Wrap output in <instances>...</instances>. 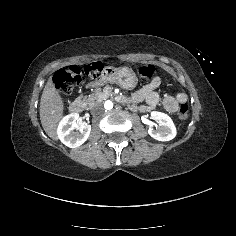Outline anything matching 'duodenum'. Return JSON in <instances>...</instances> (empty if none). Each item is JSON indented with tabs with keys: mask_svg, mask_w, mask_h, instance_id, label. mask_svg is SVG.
Instances as JSON below:
<instances>
[{
	"mask_svg": "<svg viewBox=\"0 0 236 236\" xmlns=\"http://www.w3.org/2000/svg\"><path fill=\"white\" fill-rule=\"evenodd\" d=\"M132 103H134L133 100H130ZM69 110L73 114H80L84 110V102L81 99H76L69 105Z\"/></svg>",
	"mask_w": 236,
	"mask_h": 236,
	"instance_id": "1",
	"label": "duodenum"
}]
</instances>
